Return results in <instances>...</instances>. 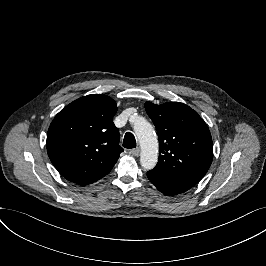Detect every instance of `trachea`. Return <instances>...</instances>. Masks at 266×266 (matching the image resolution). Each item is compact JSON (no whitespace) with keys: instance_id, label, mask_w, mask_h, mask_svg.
<instances>
[{"instance_id":"trachea-1","label":"trachea","mask_w":266,"mask_h":266,"mask_svg":"<svg viewBox=\"0 0 266 266\" xmlns=\"http://www.w3.org/2000/svg\"><path fill=\"white\" fill-rule=\"evenodd\" d=\"M124 148H135L136 147V140L132 133H126L123 141Z\"/></svg>"}]
</instances>
